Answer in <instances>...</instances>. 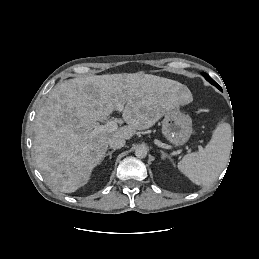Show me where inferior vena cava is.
Listing matches in <instances>:
<instances>
[{
	"instance_id": "inferior-vena-cava-1",
	"label": "inferior vena cava",
	"mask_w": 259,
	"mask_h": 259,
	"mask_svg": "<svg viewBox=\"0 0 259 259\" xmlns=\"http://www.w3.org/2000/svg\"><path fill=\"white\" fill-rule=\"evenodd\" d=\"M124 145H125V140L122 138H112L109 141L110 148L115 149V150L122 148Z\"/></svg>"
}]
</instances>
